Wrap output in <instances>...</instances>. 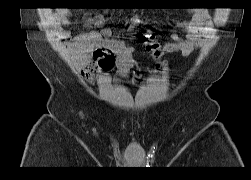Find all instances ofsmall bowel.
<instances>
[{
  "label": "small bowel",
  "mask_w": 251,
  "mask_h": 180,
  "mask_svg": "<svg viewBox=\"0 0 251 180\" xmlns=\"http://www.w3.org/2000/svg\"><path fill=\"white\" fill-rule=\"evenodd\" d=\"M70 15L69 9H60L53 14L52 22L56 26L67 25L70 22ZM88 23L102 26L103 17H91L88 19ZM209 23L210 16L205 9L191 10L190 20L178 24L180 28L185 30V36L177 33L171 34L170 42L164 44V51L168 53L178 52L182 56H189L203 44L204 34ZM60 37L73 53H91L93 62L84 69V74L88 80H93L98 73L109 72L115 65L118 73L121 76H126L133 65L132 47L113 38L111 30L108 28L90 31L76 37H72L70 32L62 30Z\"/></svg>",
  "instance_id": "1"
}]
</instances>
